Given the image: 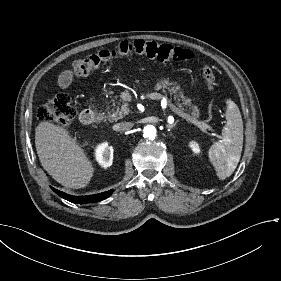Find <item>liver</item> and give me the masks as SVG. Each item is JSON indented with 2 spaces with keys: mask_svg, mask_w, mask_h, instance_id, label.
Segmentation results:
<instances>
[{
  "mask_svg": "<svg viewBox=\"0 0 281 281\" xmlns=\"http://www.w3.org/2000/svg\"><path fill=\"white\" fill-rule=\"evenodd\" d=\"M35 146L43 168L68 188L86 187L94 172L92 163L68 131L47 121L35 129Z\"/></svg>",
  "mask_w": 281,
  "mask_h": 281,
  "instance_id": "obj_1",
  "label": "liver"
}]
</instances>
